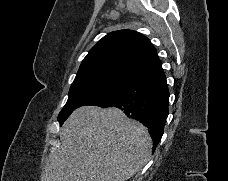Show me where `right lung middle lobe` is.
I'll use <instances>...</instances> for the list:
<instances>
[{
	"instance_id": "dd1d6c3e",
	"label": "right lung middle lobe",
	"mask_w": 228,
	"mask_h": 181,
	"mask_svg": "<svg viewBox=\"0 0 228 181\" xmlns=\"http://www.w3.org/2000/svg\"><path fill=\"white\" fill-rule=\"evenodd\" d=\"M131 79L97 75L75 79L69 91V98L58 116L60 125L78 107L99 105L116 96Z\"/></svg>"
}]
</instances>
